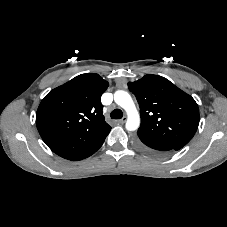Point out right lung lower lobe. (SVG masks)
Here are the masks:
<instances>
[{
    "mask_svg": "<svg viewBox=\"0 0 227 227\" xmlns=\"http://www.w3.org/2000/svg\"><path fill=\"white\" fill-rule=\"evenodd\" d=\"M101 147V146H100ZM99 147V148H100ZM99 148H97L94 152L90 153V154H87V155H84V156H81V157H78L76 159H74L73 161H77V160H81V159H84V158H87L89 157L90 155H92L93 153H95Z\"/></svg>",
    "mask_w": 227,
    "mask_h": 227,
    "instance_id": "1",
    "label": "right lung lower lobe"
}]
</instances>
